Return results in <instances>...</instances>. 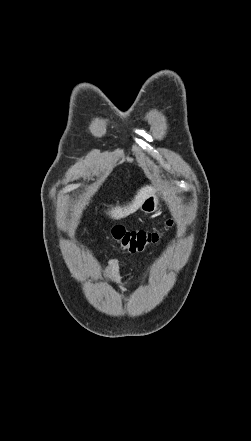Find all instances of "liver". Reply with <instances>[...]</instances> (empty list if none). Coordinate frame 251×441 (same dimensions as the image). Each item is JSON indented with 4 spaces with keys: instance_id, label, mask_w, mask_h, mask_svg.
<instances>
[{
    "instance_id": "obj_1",
    "label": "liver",
    "mask_w": 251,
    "mask_h": 441,
    "mask_svg": "<svg viewBox=\"0 0 251 441\" xmlns=\"http://www.w3.org/2000/svg\"><path fill=\"white\" fill-rule=\"evenodd\" d=\"M155 192V188L152 186H144L142 187L137 194L135 195L134 200L132 201V203H130L127 206L124 207H120V206H116L115 208H112L108 214L109 216H111V218L113 219H120L123 218L127 215H129L130 213L134 212L136 209H138L141 205V203L151 194H153Z\"/></svg>"
}]
</instances>
